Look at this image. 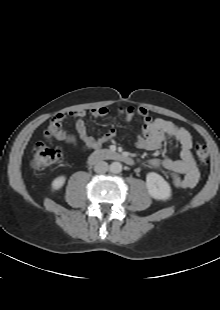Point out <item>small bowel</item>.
Instances as JSON below:
<instances>
[{
  "label": "small bowel",
  "instance_id": "obj_1",
  "mask_svg": "<svg viewBox=\"0 0 220 310\" xmlns=\"http://www.w3.org/2000/svg\"><path fill=\"white\" fill-rule=\"evenodd\" d=\"M119 113L129 121L135 115L143 121L141 134L138 136L135 144L136 147L148 151L157 150L162 146L166 138L175 140L180 146L179 159H151L147 165L157 170L167 172L178 188H192L199 181V170L192 153V137L190 133L171 121L164 119H153L147 109L138 107H127L119 109ZM90 114L95 118L105 117L108 110L104 107L93 108ZM87 112L83 109L56 114L48 127L44 131V137L47 140L57 139L59 141L75 144L76 137L68 134L63 128L62 123L68 118H75V128L87 150L100 148L103 144L111 142L117 135L115 127L110 128L100 138H95L88 134L85 117Z\"/></svg>",
  "mask_w": 220,
  "mask_h": 310
}]
</instances>
